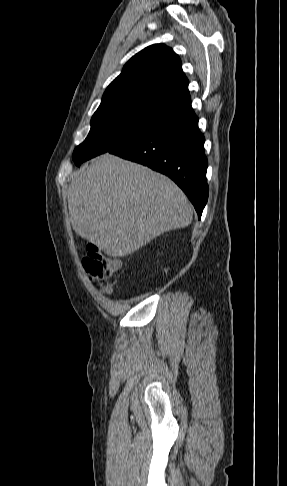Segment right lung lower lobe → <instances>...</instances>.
<instances>
[{"instance_id":"98d812e1","label":"right lung lower lobe","mask_w":287,"mask_h":486,"mask_svg":"<svg viewBox=\"0 0 287 486\" xmlns=\"http://www.w3.org/2000/svg\"><path fill=\"white\" fill-rule=\"evenodd\" d=\"M204 141L190 103L109 152L169 176L188 196L200 219L208 199Z\"/></svg>"}]
</instances>
